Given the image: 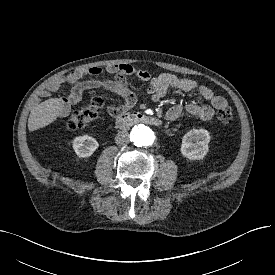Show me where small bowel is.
Wrapping results in <instances>:
<instances>
[{
	"instance_id": "c3829d8e",
	"label": "small bowel",
	"mask_w": 275,
	"mask_h": 275,
	"mask_svg": "<svg viewBox=\"0 0 275 275\" xmlns=\"http://www.w3.org/2000/svg\"><path fill=\"white\" fill-rule=\"evenodd\" d=\"M106 73L116 74V76L113 80L82 81L86 76H100ZM129 75H136L142 81L149 83L147 91L151 99L155 102L164 97L170 89L180 90L187 94L197 90L200 96L206 100L208 104L200 105L196 102H190L185 105L184 109L190 115L199 117L204 121L212 119L216 110L227 106L226 99L215 94L208 86H198L193 80L179 78L169 73L152 76L146 70L135 69L127 64L78 68L53 81L50 90H57L65 83L73 84L70 95L63 101V107L69 108L77 105L81 101L85 90L94 87H104L122 100L121 105L108 107V113L111 116H118L135 103V96L128 88L126 81V76ZM182 110L183 107L181 105L171 107L166 113V119L169 121L176 120L181 115Z\"/></svg>"
}]
</instances>
